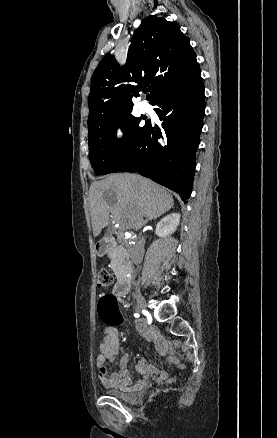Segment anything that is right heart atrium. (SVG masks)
<instances>
[{"instance_id": "right-heart-atrium-1", "label": "right heart atrium", "mask_w": 277, "mask_h": 438, "mask_svg": "<svg viewBox=\"0 0 277 438\" xmlns=\"http://www.w3.org/2000/svg\"><path fill=\"white\" fill-rule=\"evenodd\" d=\"M117 134H118L119 136H121V135H122V130H121V129H118V130H117Z\"/></svg>"}]
</instances>
